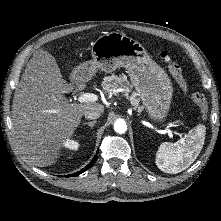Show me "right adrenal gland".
Segmentation results:
<instances>
[{
  "mask_svg": "<svg viewBox=\"0 0 221 221\" xmlns=\"http://www.w3.org/2000/svg\"><path fill=\"white\" fill-rule=\"evenodd\" d=\"M97 121L84 122L83 125H88L90 128H93Z\"/></svg>",
  "mask_w": 221,
  "mask_h": 221,
  "instance_id": "obj_1",
  "label": "right adrenal gland"
}]
</instances>
